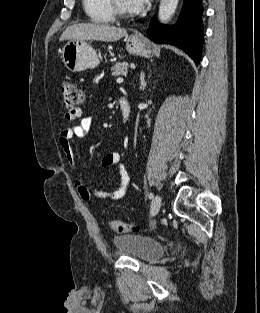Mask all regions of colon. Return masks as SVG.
<instances>
[{"instance_id":"1","label":"colon","mask_w":260,"mask_h":313,"mask_svg":"<svg viewBox=\"0 0 260 313\" xmlns=\"http://www.w3.org/2000/svg\"><path fill=\"white\" fill-rule=\"evenodd\" d=\"M61 92L63 95L64 106L69 111H75L85 103V95L77 84L71 80H64L61 83ZM109 227L117 233H126L133 229L130 222L110 219Z\"/></svg>"}]
</instances>
